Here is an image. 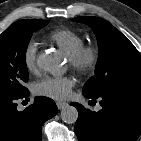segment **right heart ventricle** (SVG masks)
Instances as JSON below:
<instances>
[{"instance_id": "e07e8e85", "label": "right heart ventricle", "mask_w": 141, "mask_h": 141, "mask_svg": "<svg viewBox=\"0 0 141 141\" xmlns=\"http://www.w3.org/2000/svg\"><path fill=\"white\" fill-rule=\"evenodd\" d=\"M49 39L69 58L83 45V37L68 28L58 29L49 34Z\"/></svg>"}]
</instances>
